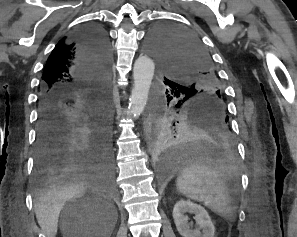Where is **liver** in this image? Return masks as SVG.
I'll return each mask as SVG.
<instances>
[{
	"instance_id": "1",
	"label": "liver",
	"mask_w": 297,
	"mask_h": 237,
	"mask_svg": "<svg viewBox=\"0 0 297 237\" xmlns=\"http://www.w3.org/2000/svg\"><path fill=\"white\" fill-rule=\"evenodd\" d=\"M56 179V183L38 195L34 204L37 222L46 237L57 235L62 208L67 201L80 196L85 191L90 176L70 174Z\"/></svg>"
}]
</instances>
